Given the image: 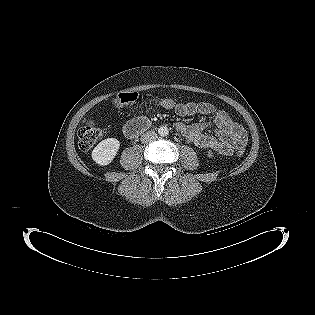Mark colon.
<instances>
[{
  "instance_id": "1",
  "label": "colon",
  "mask_w": 315,
  "mask_h": 315,
  "mask_svg": "<svg viewBox=\"0 0 315 315\" xmlns=\"http://www.w3.org/2000/svg\"><path fill=\"white\" fill-rule=\"evenodd\" d=\"M139 99L145 100L147 102H156L160 106L170 109L176 105V101L171 98H159L156 96H147L145 98L140 97L136 92H121L114 97L113 103L116 106H121L125 104H131L137 102ZM102 130L96 125L95 122H87L82 129L79 131V146L82 150L91 149L102 137ZM237 156L240 159L245 158L246 153L244 148H239L237 150Z\"/></svg>"
}]
</instances>
